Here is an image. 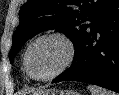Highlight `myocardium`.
<instances>
[{
    "label": "myocardium",
    "instance_id": "1",
    "mask_svg": "<svg viewBox=\"0 0 119 95\" xmlns=\"http://www.w3.org/2000/svg\"><path fill=\"white\" fill-rule=\"evenodd\" d=\"M47 38H56V39L61 40L67 48V55H66V58H65L64 62L62 63V65L55 72H53L52 74H50L48 76L40 77V76H36L35 74H33V72L30 70L28 58H29V53H30L32 47L37 42H39L43 39H47ZM75 56H76V46H75V43L72 40V38L63 32L54 31V32H48V33H45V34H42V35L36 37L28 45V47L26 48L25 53H24L23 63H24V68H25L26 73L31 78H33L37 81H49V80H52V79L58 77L60 74H62L64 71H66L74 62Z\"/></svg>",
    "mask_w": 119,
    "mask_h": 95
}]
</instances>
